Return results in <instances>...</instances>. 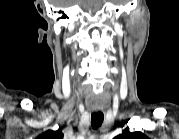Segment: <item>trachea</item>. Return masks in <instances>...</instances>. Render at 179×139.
Here are the masks:
<instances>
[{"label": "trachea", "instance_id": "trachea-1", "mask_svg": "<svg viewBox=\"0 0 179 139\" xmlns=\"http://www.w3.org/2000/svg\"><path fill=\"white\" fill-rule=\"evenodd\" d=\"M104 119L102 112H95L91 115V126L93 129H97L101 126Z\"/></svg>", "mask_w": 179, "mask_h": 139}]
</instances>
